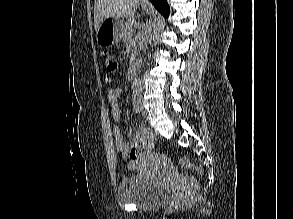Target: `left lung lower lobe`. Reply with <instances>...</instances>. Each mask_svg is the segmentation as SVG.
Instances as JSON below:
<instances>
[{
  "label": "left lung lower lobe",
  "mask_w": 293,
  "mask_h": 219,
  "mask_svg": "<svg viewBox=\"0 0 293 219\" xmlns=\"http://www.w3.org/2000/svg\"><path fill=\"white\" fill-rule=\"evenodd\" d=\"M155 8L160 11L166 18L169 14V6L167 0H150Z\"/></svg>",
  "instance_id": "1"
}]
</instances>
